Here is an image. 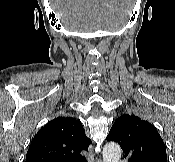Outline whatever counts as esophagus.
<instances>
[{
  "instance_id": "34e87169",
  "label": "esophagus",
  "mask_w": 175,
  "mask_h": 162,
  "mask_svg": "<svg viewBox=\"0 0 175 162\" xmlns=\"http://www.w3.org/2000/svg\"><path fill=\"white\" fill-rule=\"evenodd\" d=\"M96 162H101L99 159H96Z\"/></svg>"
}]
</instances>
